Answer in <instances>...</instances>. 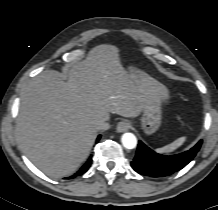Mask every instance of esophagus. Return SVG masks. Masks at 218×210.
<instances>
[{
	"instance_id": "obj_1",
	"label": "esophagus",
	"mask_w": 218,
	"mask_h": 210,
	"mask_svg": "<svg viewBox=\"0 0 218 210\" xmlns=\"http://www.w3.org/2000/svg\"><path fill=\"white\" fill-rule=\"evenodd\" d=\"M130 127H131L130 123L128 121L123 120L117 124L116 129L118 132H126L130 129Z\"/></svg>"
}]
</instances>
